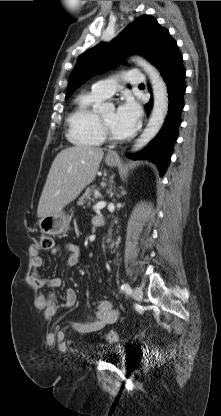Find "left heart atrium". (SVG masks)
I'll return each instance as SVG.
<instances>
[{
  "label": "left heart atrium",
  "mask_w": 221,
  "mask_h": 416,
  "mask_svg": "<svg viewBox=\"0 0 221 416\" xmlns=\"http://www.w3.org/2000/svg\"><path fill=\"white\" fill-rule=\"evenodd\" d=\"M141 111L138 104L131 98L125 99L115 112L116 124L125 136L132 134L139 123Z\"/></svg>",
  "instance_id": "left-heart-atrium-1"
}]
</instances>
